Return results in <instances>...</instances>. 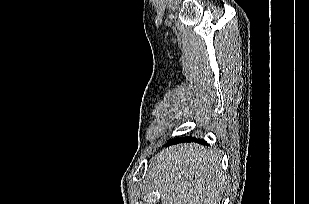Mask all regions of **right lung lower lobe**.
I'll return each instance as SVG.
<instances>
[{"instance_id": "98d812e1", "label": "right lung lower lobe", "mask_w": 309, "mask_h": 204, "mask_svg": "<svg viewBox=\"0 0 309 204\" xmlns=\"http://www.w3.org/2000/svg\"><path fill=\"white\" fill-rule=\"evenodd\" d=\"M185 141H195V142L207 144V142H205L204 140L200 141V139H196V138H193V137L189 136V137H181V138L171 139V140L168 141L166 146L167 145L169 146V145H172V144H176V143L185 142Z\"/></svg>"}]
</instances>
